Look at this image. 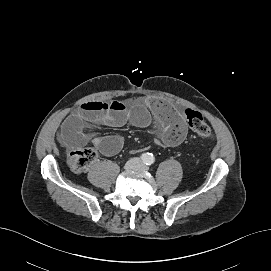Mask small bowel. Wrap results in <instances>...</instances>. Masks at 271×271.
<instances>
[{
	"mask_svg": "<svg viewBox=\"0 0 271 271\" xmlns=\"http://www.w3.org/2000/svg\"><path fill=\"white\" fill-rule=\"evenodd\" d=\"M151 115L161 129L160 139L164 146L174 147L183 142L187 135L184 116L174 106L152 98L140 99L131 110L121 101L86 102L64 121L59 140L69 148L81 147L91 141L103 155L113 156L123 146L122 137L109 135L91 140L86 132V124L121 127L131 121L138 127H146L150 123Z\"/></svg>",
	"mask_w": 271,
	"mask_h": 271,
	"instance_id": "1",
	"label": "small bowel"
}]
</instances>
